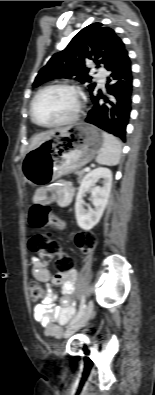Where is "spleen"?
Wrapping results in <instances>:
<instances>
[{
    "label": "spleen",
    "instance_id": "3e777b00",
    "mask_svg": "<svg viewBox=\"0 0 155 395\" xmlns=\"http://www.w3.org/2000/svg\"><path fill=\"white\" fill-rule=\"evenodd\" d=\"M121 156V144L119 140L107 132H103V146L96 156V162L101 165L115 166Z\"/></svg>",
    "mask_w": 155,
    "mask_h": 395
}]
</instances>
